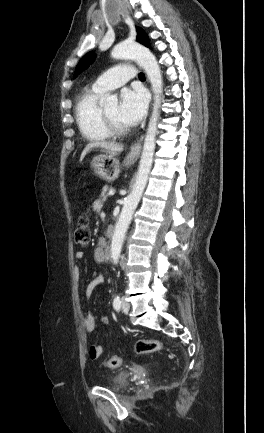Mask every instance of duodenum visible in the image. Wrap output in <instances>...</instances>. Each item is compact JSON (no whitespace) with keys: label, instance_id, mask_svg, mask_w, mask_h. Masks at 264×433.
Instances as JSON below:
<instances>
[{"label":"duodenum","instance_id":"1","mask_svg":"<svg viewBox=\"0 0 264 433\" xmlns=\"http://www.w3.org/2000/svg\"><path fill=\"white\" fill-rule=\"evenodd\" d=\"M113 235H114V228L110 226L107 228V236L112 237ZM108 254H109L108 248L100 247V249H98L97 260L99 262H105L106 259L108 258Z\"/></svg>","mask_w":264,"mask_h":433}]
</instances>
